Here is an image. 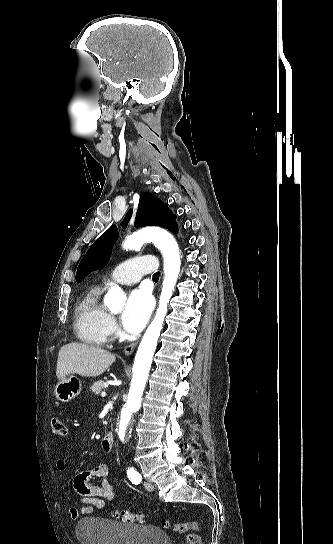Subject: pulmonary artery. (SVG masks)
<instances>
[{
	"instance_id": "obj_1",
	"label": "pulmonary artery",
	"mask_w": 333,
	"mask_h": 544,
	"mask_svg": "<svg viewBox=\"0 0 333 544\" xmlns=\"http://www.w3.org/2000/svg\"><path fill=\"white\" fill-rule=\"evenodd\" d=\"M155 270L156 261L152 256H136L116 266L106 280L126 285L133 284L138 282L143 275Z\"/></svg>"
}]
</instances>
